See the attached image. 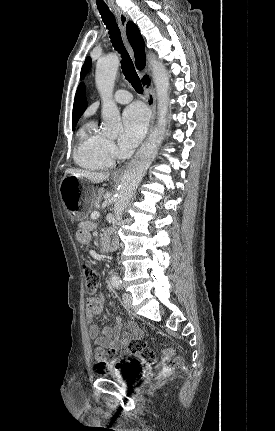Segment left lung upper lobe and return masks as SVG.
<instances>
[{"instance_id": "5c2ea615", "label": "left lung upper lobe", "mask_w": 275, "mask_h": 431, "mask_svg": "<svg viewBox=\"0 0 275 431\" xmlns=\"http://www.w3.org/2000/svg\"><path fill=\"white\" fill-rule=\"evenodd\" d=\"M90 65H91V58H90V57H88V58L85 60V62H84V64H83V66H82V69H81V78H83V76L85 75V73L88 71V69H89Z\"/></svg>"}]
</instances>
